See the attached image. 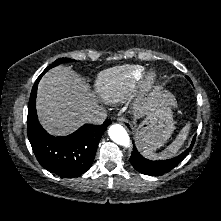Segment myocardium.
<instances>
[{"mask_svg": "<svg viewBox=\"0 0 221 221\" xmlns=\"http://www.w3.org/2000/svg\"><path fill=\"white\" fill-rule=\"evenodd\" d=\"M158 86V76L150 71L144 73L138 81V89L142 95L153 92Z\"/></svg>", "mask_w": 221, "mask_h": 221, "instance_id": "1", "label": "myocardium"}]
</instances>
